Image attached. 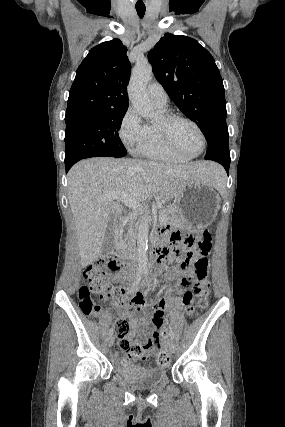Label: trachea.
<instances>
[{
  "instance_id": "obj_1",
  "label": "trachea",
  "mask_w": 285,
  "mask_h": 427,
  "mask_svg": "<svg viewBox=\"0 0 285 427\" xmlns=\"http://www.w3.org/2000/svg\"><path fill=\"white\" fill-rule=\"evenodd\" d=\"M145 7H136V11L137 14L139 15L140 18H143L144 14H145Z\"/></svg>"
}]
</instances>
